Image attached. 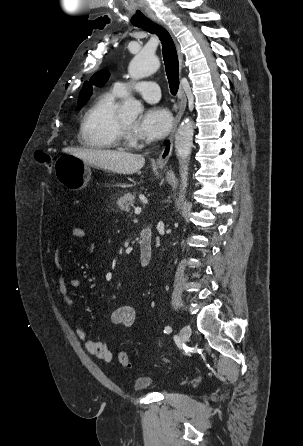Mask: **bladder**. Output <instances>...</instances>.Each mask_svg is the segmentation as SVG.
Masks as SVG:
<instances>
[{"mask_svg": "<svg viewBox=\"0 0 303 446\" xmlns=\"http://www.w3.org/2000/svg\"><path fill=\"white\" fill-rule=\"evenodd\" d=\"M154 385V380L148 376L138 377L135 381L134 387L137 391L146 390Z\"/></svg>", "mask_w": 303, "mask_h": 446, "instance_id": "1", "label": "bladder"}]
</instances>
